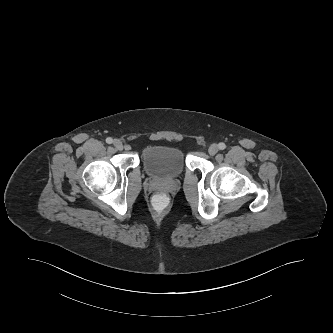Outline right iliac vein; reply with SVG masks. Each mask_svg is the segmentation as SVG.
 <instances>
[{
    "label": "right iliac vein",
    "mask_w": 333,
    "mask_h": 333,
    "mask_svg": "<svg viewBox=\"0 0 333 333\" xmlns=\"http://www.w3.org/2000/svg\"><path fill=\"white\" fill-rule=\"evenodd\" d=\"M113 145L117 150H122L123 149V144L118 139L114 140Z\"/></svg>",
    "instance_id": "right-iliac-vein-1"
}]
</instances>
